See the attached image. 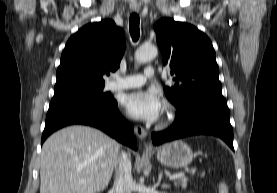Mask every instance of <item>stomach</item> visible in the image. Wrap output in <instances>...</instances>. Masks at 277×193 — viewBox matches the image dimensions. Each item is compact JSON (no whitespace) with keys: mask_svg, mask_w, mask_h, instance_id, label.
<instances>
[{"mask_svg":"<svg viewBox=\"0 0 277 193\" xmlns=\"http://www.w3.org/2000/svg\"><path fill=\"white\" fill-rule=\"evenodd\" d=\"M157 159L165 166L180 168L192 162L193 152L184 141L175 140L158 148Z\"/></svg>","mask_w":277,"mask_h":193,"instance_id":"0dacf381","label":"stomach"}]
</instances>
